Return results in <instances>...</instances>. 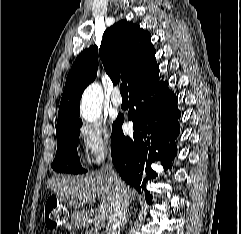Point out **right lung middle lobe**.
Segmentation results:
<instances>
[{
	"label": "right lung middle lobe",
	"mask_w": 241,
	"mask_h": 234,
	"mask_svg": "<svg viewBox=\"0 0 241 234\" xmlns=\"http://www.w3.org/2000/svg\"><path fill=\"white\" fill-rule=\"evenodd\" d=\"M82 122L56 132L57 153L51 167L57 172H86L79 162L77 146Z\"/></svg>",
	"instance_id": "dd1d6c3e"
}]
</instances>
